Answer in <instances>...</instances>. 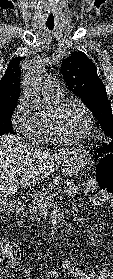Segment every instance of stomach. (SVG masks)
Returning a JSON list of instances; mask_svg holds the SVG:
<instances>
[{
    "instance_id": "0dacf381",
    "label": "stomach",
    "mask_w": 113,
    "mask_h": 279,
    "mask_svg": "<svg viewBox=\"0 0 113 279\" xmlns=\"http://www.w3.org/2000/svg\"><path fill=\"white\" fill-rule=\"evenodd\" d=\"M91 162L92 156L88 150L83 147L73 149L68 159L62 163V172L65 176H75Z\"/></svg>"
}]
</instances>
